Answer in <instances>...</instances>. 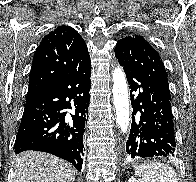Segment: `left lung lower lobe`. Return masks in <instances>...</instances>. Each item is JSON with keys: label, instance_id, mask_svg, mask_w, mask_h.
<instances>
[{"label": "left lung lower lobe", "instance_id": "0a47b994", "mask_svg": "<svg viewBox=\"0 0 196 182\" xmlns=\"http://www.w3.org/2000/svg\"><path fill=\"white\" fill-rule=\"evenodd\" d=\"M133 108L126 151L131 158L175 156V130L171 98L154 82L133 70L124 61Z\"/></svg>", "mask_w": 196, "mask_h": 182}]
</instances>
